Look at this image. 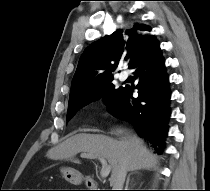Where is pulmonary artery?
<instances>
[{
  "label": "pulmonary artery",
  "instance_id": "pulmonary-artery-1",
  "mask_svg": "<svg viewBox=\"0 0 210 191\" xmlns=\"http://www.w3.org/2000/svg\"><path fill=\"white\" fill-rule=\"evenodd\" d=\"M128 78V74L126 72H122L119 74V79L124 81Z\"/></svg>",
  "mask_w": 210,
  "mask_h": 191
}]
</instances>
